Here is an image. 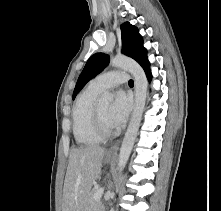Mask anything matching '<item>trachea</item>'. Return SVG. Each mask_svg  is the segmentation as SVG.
<instances>
[{"mask_svg":"<svg viewBox=\"0 0 221 211\" xmlns=\"http://www.w3.org/2000/svg\"><path fill=\"white\" fill-rule=\"evenodd\" d=\"M129 85H134V81L132 79L129 80L128 82Z\"/></svg>","mask_w":221,"mask_h":211,"instance_id":"1","label":"trachea"}]
</instances>
